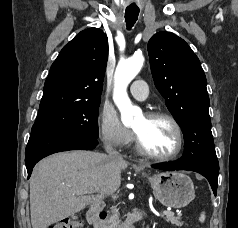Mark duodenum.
Here are the masks:
<instances>
[{
  "label": "duodenum",
  "instance_id": "duodenum-1",
  "mask_svg": "<svg viewBox=\"0 0 238 228\" xmlns=\"http://www.w3.org/2000/svg\"><path fill=\"white\" fill-rule=\"evenodd\" d=\"M87 220L94 228H106L105 218L106 213L103 211V204L99 201L92 203L86 214ZM141 219L140 212L129 214L125 222L119 228H135V224Z\"/></svg>",
  "mask_w": 238,
  "mask_h": 228
}]
</instances>
